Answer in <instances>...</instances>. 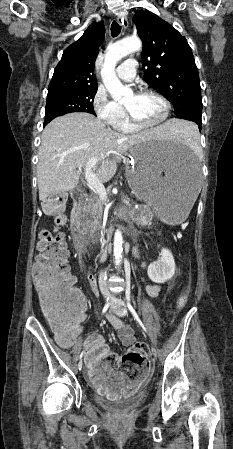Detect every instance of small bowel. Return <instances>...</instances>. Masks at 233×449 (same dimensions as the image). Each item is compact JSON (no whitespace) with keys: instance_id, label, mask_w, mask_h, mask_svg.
Listing matches in <instances>:
<instances>
[{"instance_id":"small-bowel-1","label":"small bowel","mask_w":233,"mask_h":449,"mask_svg":"<svg viewBox=\"0 0 233 449\" xmlns=\"http://www.w3.org/2000/svg\"><path fill=\"white\" fill-rule=\"evenodd\" d=\"M86 278L90 291L94 292V295H99L98 283L94 273H87ZM160 290L161 286L158 284L148 285L146 288L147 294L152 298L157 297ZM112 325L117 330L119 339L124 346H132L136 343L132 327L124 324L117 318L112 319ZM54 329L58 343L65 348H70L73 345L79 333V327L75 326L64 329L57 325L54 326ZM84 358L89 370V379L99 389V399H129L131 394H133V390H140V384H144L145 377L149 375L148 368H135L134 375H121V370L115 369L111 361L103 362L104 359L111 358L114 363H117L119 356L110 348L103 337L98 334L92 335L87 339Z\"/></svg>"}]
</instances>
